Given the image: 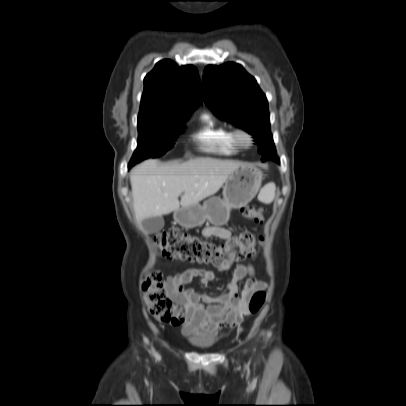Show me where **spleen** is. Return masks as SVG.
<instances>
[{"instance_id":"spleen-1","label":"spleen","mask_w":406,"mask_h":406,"mask_svg":"<svg viewBox=\"0 0 406 406\" xmlns=\"http://www.w3.org/2000/svg\"><path fill=\"white\" fill-rule=\"evenodd\" d=\"M275 194V184L274 183H269L265 185L261 192L260 196L263 198V200L267 203L272 202Z\"/></svg>"}]
</instances>
